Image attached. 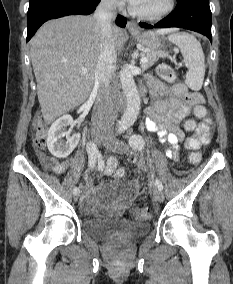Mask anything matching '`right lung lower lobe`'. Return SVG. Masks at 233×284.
<instances>
[{
    "label": "right lung lower lobe",
    "instance_id": "98d812e1",
    "mask_svg": "<svg viewBox=\"0 0 233 284\" xmlns=\"http://www.w3.org/2000/svg\"><path fill=\"white\" fill-rule=\"evenodd\" d=\"M100 0H30L27 13V40L47 20L67 15H88L92 13ZM127 19L121 15L116 18V24L126 26Z\"/></svg>",
    "mask_w": 233,
    "mask_h": 284
}]
</instances>
